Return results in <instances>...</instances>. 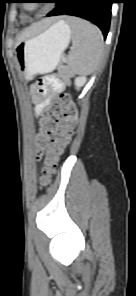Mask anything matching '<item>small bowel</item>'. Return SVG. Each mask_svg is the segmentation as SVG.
<instances>
[{
	"instance_id": "c3829d8e",
	"label": "small bowel",
	"mask_w": 136,
	"mask_h": 296,
	"mask_svg": "<svg viewBox=\"0 0 136 296\" xmlns=\"http://www.w3.org/2000/svg\"><path fill=\"white\" fill-rule=\"evenodd\" d=\"M63 89V84L53 78L51 81L43 78L37 85L36 95V114L39 116L50 101L59 95Z\"/></svg>"
}]
</instances>
